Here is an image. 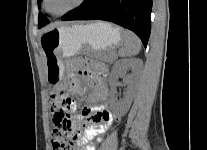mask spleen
Here are the masks:
<instances>
[{
	"mask_svg": "<svg viewBox=\"0 0 207 150\" xmlns=\"http://www.w3.org/2000/svg\"><path fill=\"white\" fill-rule=\"evenodd\" d=\"M141 49L139 38L131 31L124 30L122 33V43L118 50L121 57H132L137 55Z\"/></svg>",
	"mask_w": 207,
	"mask_h": 150,
	"instance_id": "3e777b00",
	"label": "spleen"
}]
</instances>
